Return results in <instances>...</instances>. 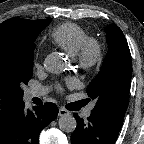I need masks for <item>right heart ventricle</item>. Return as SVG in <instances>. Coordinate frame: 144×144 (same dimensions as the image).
Listing matches in <instances>:
<instances>
[{"label":"right heart ventricle","instance_id":"1","mask_svg":"<svg viewBox=\"0 0 144 144\" xmlns=\"http://www.w3.org/2000/svg\"><path fill=\"white\" fill-rule=\"evenodd\" d=\"M87 37V32L78 24L72 22L62 23L53 28L49 33L52 43L70 55L77 53Z\"/></svg>","mask_w":144,"mask_h":144}]
</instances>
